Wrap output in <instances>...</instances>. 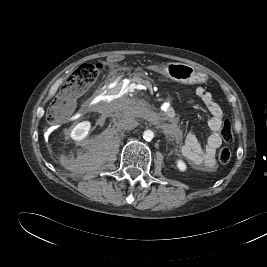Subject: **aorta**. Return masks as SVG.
Returning <instances> with one entry per match:
<instances>
[{
	"label": "aorta",
	"mask_w": 267,
	"mask_h": 267,
	"mask_svg": "<svg viewBox=\"0 0 267 267\" xmlns=\"http://www.w3.org/2000/svg\"><path fill=\"white\" fill-rule=\"evenodd\" d=\"M143 138L146 140V141H151L153 138H154V133L152 130H145L143 132Z\"/></svg>",
	"instance_id": "762f6f07"
}]
</instances>
